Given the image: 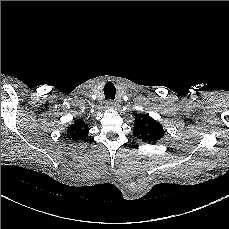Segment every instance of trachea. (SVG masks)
I'll return each instance as SVG.
<instances>
[{"instance_id":"obj_1","label":"trachea","mask_w":229,"mask_h":229,"mask_svg":"<svg viewBox=\"0 0 229 229\" xmlns=\"http://www.w3.org/2000/svg\"><path fill=\"white\" fill-rule=\"evenodd\" d=\"M103 90L105 98L113 101L116 94V88L114 84L112 82H107Z\"/></svg>"}]
</instances>
